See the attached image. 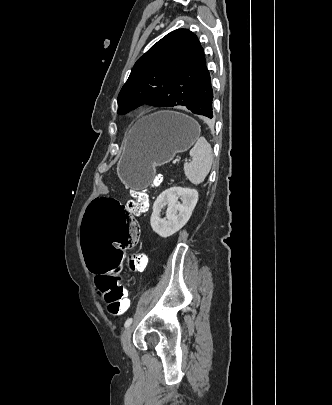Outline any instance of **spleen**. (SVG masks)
Segmentation results:
<instances>
[{"instance_id": "spleen-1", "label": "spleen", "mask_w": 332, "mask_h": 405, "mask_svg": "<svg viewBox=\"0 0 332 405\" xmlns=\"http://www.w3.org/2000/svg\"><path fill=\"white\" fill-rule=\"evenodd\" d=\"M189 154L192 161L184 164L185 175L192 184H201L211 170L213 162L211 145L204 137H199Z\"/></svg>"}]
</instances>
